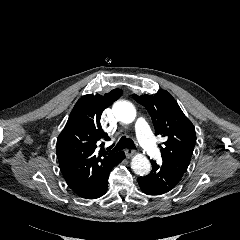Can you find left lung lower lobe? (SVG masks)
<instances>
[{
  "instance_id": "0a47b994",
  "label": "left lung lower lobe",
  "mask_w": 240,
  "mask_h": 240,
  "mask_svg": "<svg viewBox=\"0 0 240 240\" xmlns=\"http://www.w3.org/2000/svg\"><path fill=\"white\" fill-rule=\"evenodd\" d=\"M152 171L144 177H139L138 183L141 190L147 195H161L173 190L181 181L176 175L165 166L152 162Z\"/></svg>"
}]
</instances>
